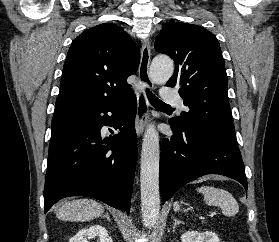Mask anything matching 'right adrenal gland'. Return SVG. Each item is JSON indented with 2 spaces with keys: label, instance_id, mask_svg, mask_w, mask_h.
<instances>
[{
  "label": "right adrenal gland",
  "instance_id": "obj_1",
  "mask_svg": "<svg viewBox=\"0 0 279 242\" xmlns=\"http://www.w3.org/2000/svg\"><path fill=\"white\" fill-rule=\"evenodd\" d=\"M103 218H106L108 221H111V219H110L108 213H106L105 215H103Z\"/></svg>",
  "mask_w": 279,
  "mask_h": 242
}]
</instances>
